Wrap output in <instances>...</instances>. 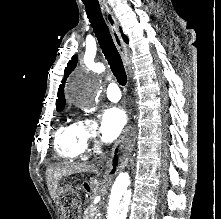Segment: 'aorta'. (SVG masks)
Instances as JSON below:
<instances>
[{"label": "aorta", "mask_w": 221, "mask_h": 219, "mask_svg": "<svg viewBox=\"0 0 221 219\" xmlns=\"http://www.w3.org/2000/svg\"><path fill=\"white\" fill-rule=\"evenodd\" d=\"M91 69L101 73L105 67L101 63L93 64ZM70 95L80 100L88 102L92 95L87 78L80 77L70 89ZM133 172L122 171L118 174L110 196L108 219H126L132 199Z\"/></svg>", "instance_id": "762f6f07"}]
</instances>
